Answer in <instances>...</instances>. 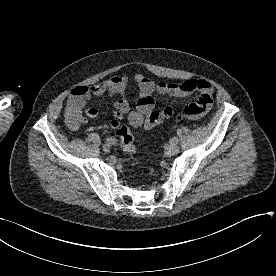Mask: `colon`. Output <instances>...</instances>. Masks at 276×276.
Here are the masks:
<instances>
[{"mask_svg":"<svg viewBox=\"0 0 276 276\" xmlns=\"http://www.w3.org/2000/svg\"><path fill=\"white\" fill-rule=\"evenodd\" d=\"M198 109H195L194 107H189L188 109L183 110L179 115L176 116V122L177 124L182 123L183 119L187 114L198 112ZM157 115L150 113L146 118V124L148 126H154L156 123ZM116 135L118 137L120 147L122 151L131 157L134 158L136 149L134 145V137L131 132V129L127 125H121L118 127V130L116 132Z\"/></svg>","mask_w":276,"mask_h":276,"instance_id":"1","label":"colon"}]
</instances>
